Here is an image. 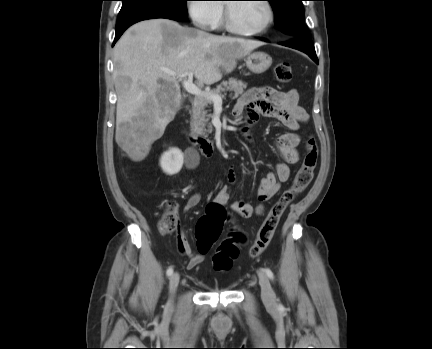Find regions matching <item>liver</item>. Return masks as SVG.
<instances>
[{
	"instance_id": "obj_1",
	"label": "liver",
	"mask_w": 432,
	"mask_h": 349,
	"mask_svg": "<svg viewBox=\"0 0 432 349\" xmlns=\"http://www.w3.org/2000/svg\"><path fill=\"white\" fill-rule=\"evenodd\" d=\"M259 41L223 37L168 19L139 22L114 47L118 146L133 161L143 160L174 119L183 97L175 77L192 72L211 85L232 72L237 60L262 46ZM162 81V83L160 82Z\"/></svg>"
}]
</instances>
